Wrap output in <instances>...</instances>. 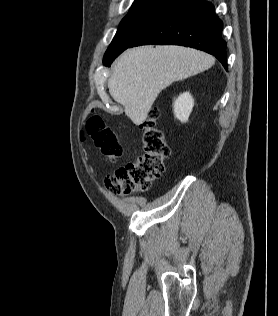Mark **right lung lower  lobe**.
I'll return each instance as SVG.
<instances>
[{
    "instance_id": "98d812e1",
    "label": "right lung lower lobe",
    "mask_w": 278,
    "mask_h": 316,
    "mask_svg": "<svg viewBox=\"0 0 278 316\" xmlns=\"http://www.w3.org/2000/svg\"><path fill=\"white\" fill-rule=\"evenodd\" d=\"M222 21L214 6L204 0H170L151 25L129 46L175 44L214 55L227 70L226 42ZM128 47V48H129ZM104 62L109 66L118 56Z\"/></svg>"
}]
</instances>
